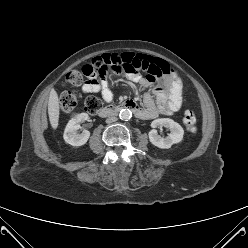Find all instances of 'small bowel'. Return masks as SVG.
<instances>
[{"label": "small bowel", "instance_id": "c3829d8e", "mask_svg": "<svg viewBox=\"0 0 248 248\" xmlns=\"http://www.w3.org/2000/svg\"><path fill=\"white\" fill-rule=\"evenodd\" d=\"M118 64V71L129 77L132 82L139 83L144 88H153V93L145 92V108L140 109L141 119H153L158 116H168L176 113L183 101V84L180 76L164 60L145 54L123 52L112 54ZM139 71H145L142 76ZM81 89L85 93L99 92L103 100L110 103L113 93L104 76H89L83 82Z\"/></svg>", "mask_w": 248, "mask_h": 248}]
</instances>
